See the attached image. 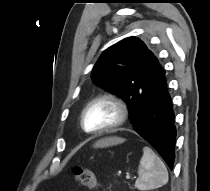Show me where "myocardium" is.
<instances>
[{"label":"myocardium","instance_id":"obj_1","mask_svg":"<svg viewBox=\"0 0 210 191\" xmlns=\"http://www.w3.org/2000/svg\"><path fill=\"white\" fill-rule=\"evenodd\" d=\"M98 102H109L112 105H114L118 111V118L113 124L109 126H106L97 130H87L84 125L85 113L91 105ZM128 117H129V109L125 101L115 94L107 93V94H102L93 98L91 101H89L85 105V107L83 108L80 114V126L82 130L88 134H94V135L104 134V133L115 131L118 128L122 127L127 122Z\"/></svg>","mask_w":210,"mask_h":191}]
</instances>
